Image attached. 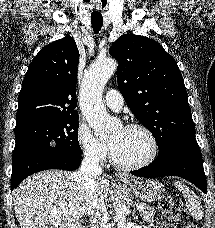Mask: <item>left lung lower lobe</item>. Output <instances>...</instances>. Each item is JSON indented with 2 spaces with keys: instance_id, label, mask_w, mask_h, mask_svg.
<instances>
[{
  "instance_id": "obj_1",
  "label": "left lung lower lobe",
  "mask_w": 215,
  "mask_h": 228,
  "mask_svg": "<svg viewBox=\"0 0 215 228\" xmlns=\"http://www.w3.org/2000/svg\"><path fill=\"white\" fill-rule=\"evenodd\" d=\"M130 173L145 178L179 176L189 180L204 193H207L202 155L195 134L171 142L159 151L154 162Z\"/></svg>"
}]
</instances>
